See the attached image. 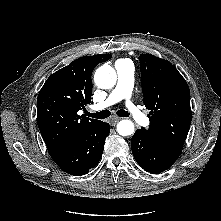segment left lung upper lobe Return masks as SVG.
<instances>
[{"label":"left lung upper lobe","instance_id":"left-lung-upper-lobe-1","mask_svg":"<svg viewBox=\"0 0 221 221\" xmlns=\"http://www.w3.org/2000/svg\"><path fill=\"white\" fill-rule=\"evenodd\" d=\"M143 102L150 125L142 128L162 145L181 150L187 137L192 113L187 82L168 61L151 54L140 55Z\"/></svg>","mask_w":221,"mask_h":221}]
</instances>
